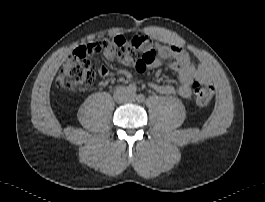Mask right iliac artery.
I'll return each mask as SVG.
<instances>
[{"label": "right iliac artery", "mask_w": 265, "mask_h": 202, "mask_svg": "<svg viewBox=\"0 0 265 202\" xmlns=\"http://www.w3.org/2000/svg\"><path fill=\"white\" fill-rule=\"evenodd\" d=\"M127 90H128V92L134 94V93L137 91V87H136L135 84H130V85L127 87Z\"/></svg>", "instance_id": "obj_1"}]
</instances>
